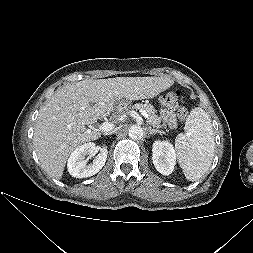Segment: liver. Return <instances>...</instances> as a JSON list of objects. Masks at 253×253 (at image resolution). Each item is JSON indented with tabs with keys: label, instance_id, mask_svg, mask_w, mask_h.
Masks as SVG:
<instances>
[{
	"label": "liver",
	"instance_id": "obj_1",
	"mask_svg": "<svg viewBox=\"0 0 253 253\" xmlns=\"http://www.w3.org/2000/svg\"><path fill=\"white\" fill-rule=\"evenodd\" d=\"M173 84L166 76L117 77L59 88L40 108L35 122L33 144L41 167L50 177L61 179L70 153L101 136L86 125L110 115L118 101L153 98Z\"/></svg>",
	"mask_w": 253,
	"mask_h": 253
}]
</instances>
